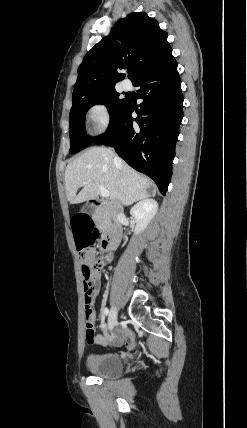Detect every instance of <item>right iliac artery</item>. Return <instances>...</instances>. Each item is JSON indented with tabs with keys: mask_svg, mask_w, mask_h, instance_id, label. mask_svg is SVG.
<instances>
[{
	"mask_svg": "<svg viewBox=\"0 0 247 428\" xmlns=\"http://www.w3.org/2000/svg\"><path fill=\"white\" fill-rule=\"evenodd\" d=\"M104 314L107 316L109 314V309L108 308H104Z\"/></svg>",
	"mask_w": 247,
	"mask_h": 428,
	"instance_id": "obj_1",
	"label": "right iliac artery"
}]
</instances>
